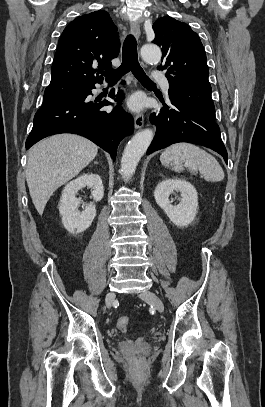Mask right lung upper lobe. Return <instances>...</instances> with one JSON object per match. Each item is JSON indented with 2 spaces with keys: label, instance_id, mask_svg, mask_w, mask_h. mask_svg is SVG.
<instances>
[{
  "label": "right lung upper lobe",
  "instance_id": "right-lung-upper-lobe-1",
  "mask_svg": "<svg viewBox=\"0 0 265 407\" xmlns=\"http://www.w3.org/2000/svg\"><path fill=\"white\" fill-rule=\"evenodd\" d=\"M120 50L117 28L109 13L100 10L74 19L63 31L54 56L51 82L86 85L103 80ZM97 66L99 69H94ZM97 72V74H95Z\"/></svg>",
  "mask_w": 265,
  "mask_h": 407
}]
</instances>
